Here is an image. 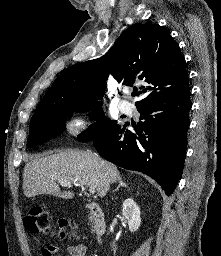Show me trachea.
Returning <instances> with one entry per match:
<instances>
[{
    "mask_svg": "<svg viewBox=\"0 0 221 256\" xmlns=\"http://www.w3.org/2000/svg\"><path fill=\"white\" fill-rule=\"evenodd\" d=\"M137 95H138L137 92H133V93H132V96H137Z\"/></svg>",
    "mask_w": 221,
    "mask_h": 256,
    "instance_id": "trachea-1",
    "label": "trachea"
}]
</instances>
